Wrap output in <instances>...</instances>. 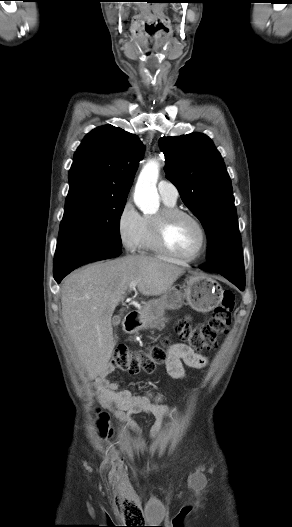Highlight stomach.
<instances>
[{
	"instance_id": "0dacf381",
	"label": "stomach",
	"mask_w": 292,
	"mask_h": 527,
	"mask_svg": "<svg viewBox=\"0 0 292 527\" xmlns=\"http://www.w3.org/2000/svg\"><path fill=\"white\" fill-rule=\"evenodd\" d=\"M222 294L221 286L207 275L187 276L179 286L172 287L159 299L145 304L138 328L154 327L163 318L165 310L180 309L184 304L197 312L212 311L220 304Z\"/></svg>"
}]
</instances>
